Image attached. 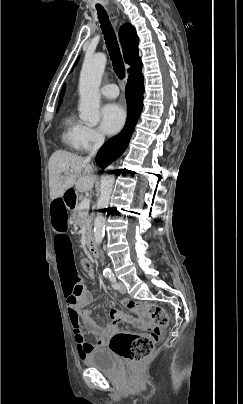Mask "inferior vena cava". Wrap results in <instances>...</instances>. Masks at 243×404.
<instances>
[{"mask_svg": "<svg viewBox=\"0 0 243 404\" xmlns=\"http://www.w3.org/2000/svg\"><path fill=\"white\" fill-rule=\"evenodd\" d=\"M104 136H98L94 146H93V150H91L89 156H87L86 160H91V158H93V156H95L97 150H99V148H101L102 144H104Z\"/></svg>", "mask_w": 243, "mask_h": 404, "instance_id": "obj_1", "label": "inferior vena cava"}]
</instances>
